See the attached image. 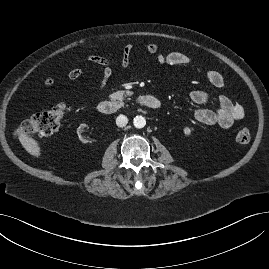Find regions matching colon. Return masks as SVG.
Instances as JSON below:
<instances>
[{
  "label": "colon",
  "mask_w": 269,
  "mask_h": 269,
  "mask_svg": "<svg viewBox=\"0 0 269 269\" xmlns=\"http://www.w3.org/2000/svg\"><path fill=\"white\" fill-rule=\"evenodd\" d=\"M67 110L65 103L56 104L46 110L35 114L24 121L15 131L16 135H27L30 137H42L53 134L59 127ZM251 133L243 128L237 132L236 141L239 144H247Z\"/></svg>",
  "instance_id": "5ec220e1"
}]
</instances>
